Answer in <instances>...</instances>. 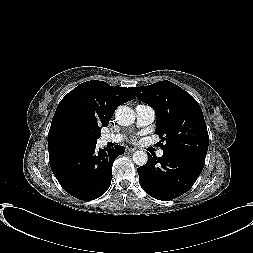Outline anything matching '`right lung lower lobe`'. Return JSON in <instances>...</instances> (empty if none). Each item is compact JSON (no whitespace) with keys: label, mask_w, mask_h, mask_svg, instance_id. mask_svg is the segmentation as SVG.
Listing matches in <instances>:
<instances>
[{"label":"right lung lower lobe","mask_w":253,"mask_h":253,"mask_svg":"<svg viewBox=\"0 0 253 253\" xmlns=\"http://www.w3.org/2000/svg\"><path fill=\"white\" fill-rule=\"evenodd\" d=\"M96 145L75 149L50 159L51 169L63 189L80 200H94L110 187L114 160L125 148L104 151Z\"/></svg>","instance_id":"1"}]
</instances>
